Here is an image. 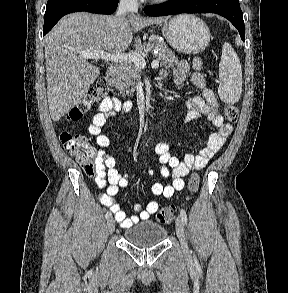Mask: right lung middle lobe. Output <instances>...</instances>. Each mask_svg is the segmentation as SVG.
I'll return each mask as SVG.
<instances>
[{
  "instance_id": "1",
  "label": "right lung middle lobe",
  "mask_w": 288,
  "mask_h": 293,
  "mask_svg": "<svg viewBox=\"0 0 288 293\" xmlns=\"http://www.w3.org/2000/svg\"><path fill=\"white\" fill-rule=\"evenodd\" d=\"M60 1H62V0H48L47 1V6L53 5V4H55L57 2H60Z\"/></svg>"
}]
</instances>
